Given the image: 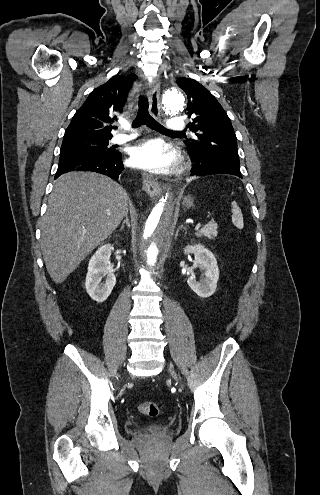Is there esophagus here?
Masks as SVG:
<instances>
[{"mask_svg": "<svg viewBox=\"0 0 320 495\" xmlns=\"http://www.w3.org/2000/svg\"><path fill=\"white\" fill-rule=\"evenodd\" d=\"M149 103L150 112L154 117H157L160 113V81L158 78L154 79L149 88ZM143 188L152 197H157L162 191L161 184L152 179L149 175L143 174L142 176Z\"/></svg>", "mask_w": 320, "mask_h": 495, "instance_id": "1", "label": "esophagus"}]
</instances>
